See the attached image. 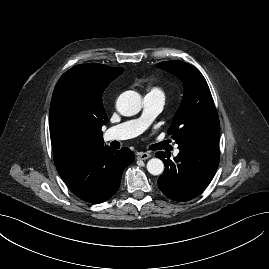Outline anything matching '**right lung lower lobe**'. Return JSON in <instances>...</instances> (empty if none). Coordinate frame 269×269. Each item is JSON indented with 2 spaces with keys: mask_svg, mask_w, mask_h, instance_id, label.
I'll return each instance as SVG.
<instances>
[{
  "mask_svg": "<svg viewBox=\"0 0 269 269\" xmlns=\"http://www.w3.org/2000/svg\"><path fill=\"white\" fill-rule=\"evenodd\" d=\"M134 161L128 148L101 147L57 166L68 188L84 201L98 204L112 197L120 186L124 169Z\"/></svg>",
  "mask_w": 269,
  "mask_h": 269,
  "instance_id": "obj_1",
  "label": "right lung lower lobe"
}]
</instances>
